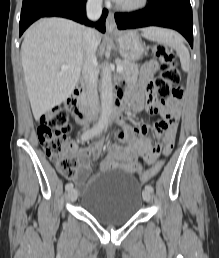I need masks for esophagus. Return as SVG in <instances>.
<instances>
[{
    "label": "esophagus",
    "instance_id": "1",
    "mask_svg": "<svg viewBox=\"0 0 219 258\" xmlns=\"http://www.w3.org/2000/svg\"><path fill=\"white\" fill-rule=\"evenodd\" d=\"M106 30L108 33H116L118 31L117 25L114 19V13L109 12L106 19Z\"/></svg>",
    "mask_w": 219,
    "mask_h": 258
}]
</instances>
